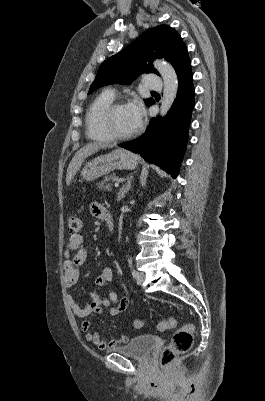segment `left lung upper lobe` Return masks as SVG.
<instances>
[{
	"label": "left lung upper lobe",
	"mask_w": 265,
	"mask_h": 401,
	"mask_svg": "<svg viewBox=\"0 0 265 401\" xmlns=\"http://www.w3.org/2000/svg\"><path fill=\"white\" fill-rule=\"evenodd\" d=\"M165 58L175 71L188 58V52L180 35L168 25H159L143 32L134 42L105 60L92 83L88 94L109 84H130L142 73H156L152 61ZM150 106L154 100L145 99Z\"/></svg>",
	"instance_id": "5c2ea615"
}]
</instances>
